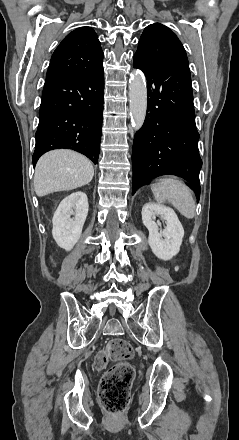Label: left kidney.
<instances>
[{
    "mask_svg": "<svg viewBox=\"0 0 239 440\" xmlns=\"http://www.w3.org/2000/svg\"><path fill=\"white\" fill-rule=\"evenodd\" d=\"M142 222L149 230L148 244L155 256L160 260H171L180 250L184 238V230L180 224L174 210L149 202L142 208ZM160 216L166 220V228L159 232L158 224L154 218ZM164 238V240H163Z\"/></svg>",
    "mask_w": 239,
    "mask_h": 440,
    "instance_id": "1",
    "label": "left kidney"
}]
</instances>
